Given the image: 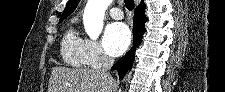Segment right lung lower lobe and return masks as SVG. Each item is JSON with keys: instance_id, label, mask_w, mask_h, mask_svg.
Segmentation results:
<instances>
[{"instance_id": "1", "label": "right lung lower lobe", "mask_w": 225, "mask_h": 92, "mask_svg": "<svg viewBox=\"0 0 225 92\" xmlns=\"http://www.w3.org/2000/svg\"><path fill=\"white\" fill-rule=\"evenodd\" d=\"M147 17L144 10L135 9L134 22H133V49L126 53L121 59H119L113 66V70H117L119 77L122 79L128 70L132 68L135 56V48L141 43L143 34L145 32V22Z\"/></svg>"}]
</instances>
